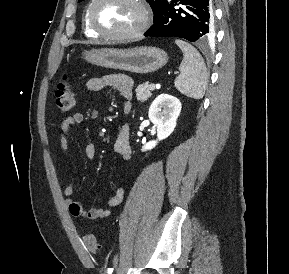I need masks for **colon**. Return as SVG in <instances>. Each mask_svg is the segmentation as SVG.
<instances>
[{
    "label": "colon",
    "mask_w": 289,
    "mask_h": 274,
    "mask_svg": "<svg viewBox=\"0 0 289 274\" xmlns=\"http://www.w3.org/2000/svg\"><path fill=\"white\" fill-rule=\"evenodd\" d=\"M74 102V86L70 82L69 77L65 75L55 91V104L61 112L66 113L72 109ZM84 243L90 252L98 253L100 251V245L94 235L86 234L84 236Z\"/></svg>",
    "instance_id": "5ec220e1"
}]
</instances>
